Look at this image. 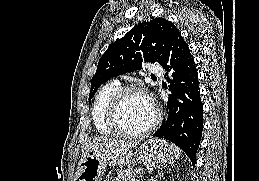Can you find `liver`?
<instances>
[{
    "label": "liver",
    "mask_w": 259,
    "mask_h": 181,
    "mask_svg": "<svg viewBox=\"0 0 259 181\" xmlns=\"http://www.w3.org/2000/svg\"><path fill=\"white\" fill-rule=\"evenodd\" d=\"M138 141H124L119 140L115 138H96L92 142H90L84 149L83 154H85L88 151H123V150H129L133 147H136Z\"/></svg>",
    "instance_id": "obj_1"
}]
</instances>
